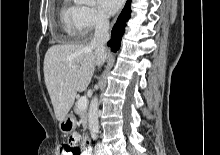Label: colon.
<instances>
[{
	"label": "colon",
	"instance_id": "obj_1",
	"mask_svg": "<svg viewBox=\"0 0 220 155\" xmlns=\"http://www.w3.org/2000/svg\"><path fill=\"white\" fill-rule=\"evenodd\" d=\"M85 145L64 144L62 147V155H81V147Z\"/></svg>",
	"mask_w": 220,
	"mask_h": 155
}]
</instances>
